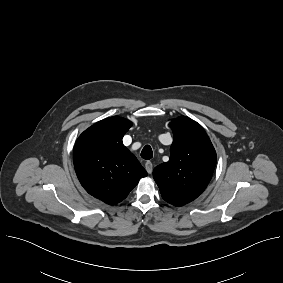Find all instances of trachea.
I'll list each match as a JSON object with an SVG mask.
<instances>
[{
	"mask_svg": "<svg viewBox=\"0 0 283 283\" xmlns=\"http://www.w3.org/2000/svg\"><path fill=\"white\" fill-rule=\"evenodd\" d=\"M141 157L145 160H149L153 157L152 148L146 145L141 151Z\"/></svg>",
	"mask_w": 283,
	"mask_h": 283,
	"instance_id": "obj_1",
	"label": "trachea"
}]
</instances>
